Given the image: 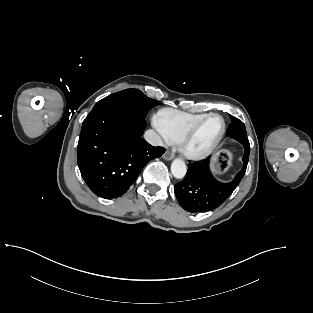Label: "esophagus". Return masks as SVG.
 Listing matches in <instances>:
<instances>
[{
	"instance_id": "34e87169",
	"label": "esophagus",
	"mask_w": 313,
	"mask_h": 313,
	"mask_svg": "<svg viewBox=\"0 0 313 313\" xmlns=\"http://www.w3.org/2000/svg\"><path fill=\"white\" fill-rule=\"evenodd\" d=\"M163 158L165 160H172L174 158V154L169 152V151H166L164 154H163Z\"/></svg>"
}]
</instances>
